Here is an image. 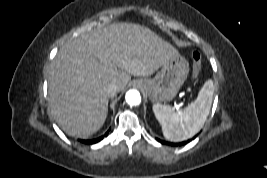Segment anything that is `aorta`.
I'll return each mask as SVG.
<instances>
[{"instance_id": "1", "label": "aorta", "mask_w": 267, "mask_h": 178, "mask_svg": "<svg viewBox=\"0 0 267 178\" xmlns=\"http://www.w3.org/2000/svg\"><path fill=\"white\" fill-rule=\"evenodd\" d=\"M125 100L130 106H137L141 103V95L139 91L131 89L126 92Z\"/></svg>"}]
</instances>
